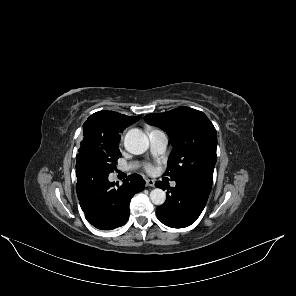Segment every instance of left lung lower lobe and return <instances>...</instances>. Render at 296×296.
<instances>
[{"mask_svg": "<svg viewBox=\"0 0 296 296\" xmlns=\"http://www.w3.org/2000/svg\"><path fill=\"white\" fill-rule=\"evenodd\" d=\"M212 182L211 179L197 177L177 181L173 188L167 186L166 201L156 209L158 219L172 228L193 224L205 207ZM155 185L166 189L161 181Z\"/></svg>", "mask_w": 296, "mask_h": 296, "instance_id": "0a47b994", "label": "left lung lower lobe"}]
</instances>
